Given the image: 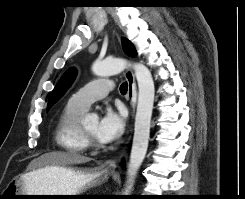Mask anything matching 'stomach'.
<instances>
[{"mask_svg":"<svg viewBox=\"0 0 245 199\" xmlns=\"http://www.w3.org/2000/svg\"><path fill=\"white\" fill-rule=\"evenodd\" d=\"M108 173L99 170L86 171L74 167H44L11 181L6 187L13 198L28 199L15 195H80L83 190L105 180ZM44 198V197H41ZM70 198V197H52Z\"/></svg>","mask_w":245,"mask_h":199,"instance_id":"obj_1","label":"stomach"}]
</instances>
